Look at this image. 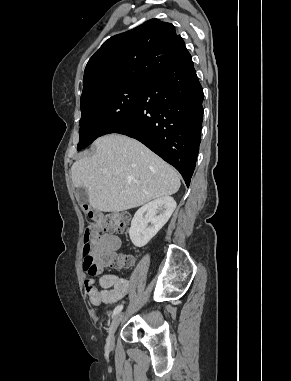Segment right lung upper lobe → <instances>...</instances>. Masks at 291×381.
I'll return each instance as SVG.
<instances>
[{"instance_id":"cb5924a9","label":"right lung upper lobe","mask_w":291,"mask_h":381,"mask_svg":"<svg viewBox=\"0 0 291 381\" xmlns=\"http://www.w3.org/2000/svg\"><path fill=\"white\" fill-rule=\"evenodd\" d=\"M186 50L171 23L151 19L109 38L88 61L81 102L121 84L147 82Z\"/></svg>"}]
</instances>
